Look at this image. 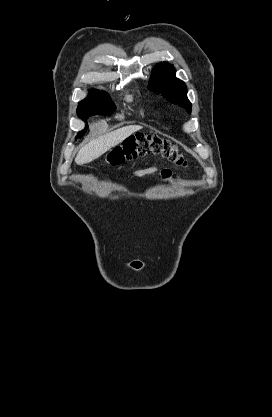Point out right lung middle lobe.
<instances>
[{"instance_id":"right-lung-middle-lobe-1","label":"right lung middle lobe","mask_w":272,"mask_h":417,"mask_svg":"<svg viewBox=\"0 0 272 417\" xmlns=\"http://www.w3.org/2000/svg\"><path fill=\"white\" fill-rule=\"evenodd\" d=\"M115 106L110 97L105 94L89 95L83 102L79 103L77 107V114L83 120L91 115H110L114 112ZM86 128L78 133L77 137H82L86 132Z\"/></svg>"}]
</instances>
